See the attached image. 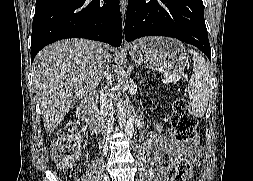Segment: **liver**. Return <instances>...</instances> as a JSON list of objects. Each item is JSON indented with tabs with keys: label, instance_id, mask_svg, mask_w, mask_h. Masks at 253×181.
<instances>
[{
	"label": "liver",
	"instance_id": "1",
	"mask_svg": "<svg viewBox=\"0 0 253 181\" xmlns=\"http://www.w3.org/2000/svg\"><path fill=\"white\" fill-rule=\"evenodd\" d=\"M114 53L111 47L86 39L58 41L38 53L32 76L47 133L54 132L75 103L98 86Z\"/></svg>",
	"mask_w": 253,
	"mask_h": 181
}]
</instances>
